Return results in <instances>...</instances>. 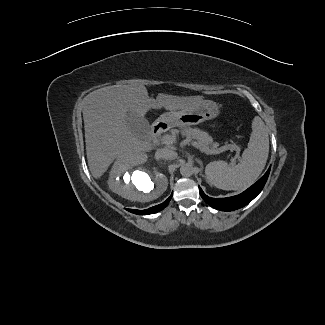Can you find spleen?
Wrapping results in <instances>:
<instances>
[{
	"instance_id": "obj_1",
	"label": "spleen",
	"mask_w": 325,
	"mask_h": 325,
	"mask_svg": "<svg viewBox=\"0 0 325 325\" xmlns=\"http://www.w3.org/2000/svg\"><path fill=\"white\" fill-rule=\"evenodd\" d=\"M269 153V137L263 120L256 116L248 147L238 164L214 161L205 168L209 184L223 190H242L253 184L263 171Z\"/></svg>"
}]
</instances>
